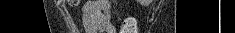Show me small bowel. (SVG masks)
I'll return each instance as SVG.
<instances>
[{
  "label": "small bowel",
  "mask_w": 235,
  "mask_h": 33,
  "mask_svg": "<svg viewBox=\"0 0 235 33\" xmlns=\"http://www.w3.org/2000/svg\"><path fill=\"white\" fill-rule=\"evenodd\" d=\"M109 3L104 0H91L83 6V25L86 33H116L107 15Z\"/></svg>",
  "instance_id": "small-bowel-1"
}]
</instances>
